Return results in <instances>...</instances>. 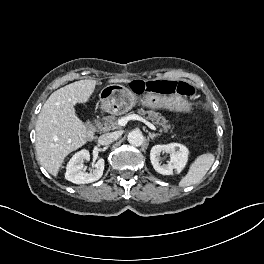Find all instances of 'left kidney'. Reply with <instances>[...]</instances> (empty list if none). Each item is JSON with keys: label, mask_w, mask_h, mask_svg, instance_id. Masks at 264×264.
I'll return each instance as SVG.
<instances>
[{"label": "left kidney", "mask_w": 264, "mask_h": 264, "mask_svg": "<svg viewBox=\"0 0 264 264\" xmlns=\"http://www.w3.org/2000/svg\"><path fill=\"white\" fill-rule=\"evenodd\" d=\"M170 154L167 164L161 165L159 156L161 153ZM189 150L180 143H170L166 145H155L150 152V160L153 168L160 174L171 175L173 170L178 173L185 167L188 160Z\"/></svg>", "instance_id": "obj_1"}]
</instances>
